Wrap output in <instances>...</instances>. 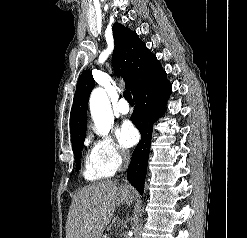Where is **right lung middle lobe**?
<instances>
[{"label": "right lung middle lobe", "instance_id": "right-lung-middle-lobe-1", "mask_svg": "<svg viewBox=\"0 0 247 238\" xmlns=\"http://www.w3.org/2000/svg\"><path fill=\"white\" fill-rule=\"evenodd\" d=\"M84 140H85V138L72 144L73 145V152H74L75 157H76L77 169H80V167H81L80 158H81V150L83 148Z\"/></svg>", "mask_w": 247, "mask_h": 238}]
</instances>
